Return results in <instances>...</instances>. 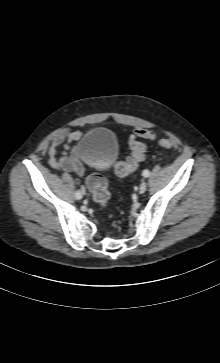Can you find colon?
Here are the masks:
<instances>
[{"label":"colon","instance_id":"colon-1","mask_svg":"<svg viewBox=\"0 0 220 363\" xmlns=\"http://www.w3.org/2000/svg\"><path fill=\"white\" fill-rule=\"evenodd\" d=\"M155 134L148 129H137L130 136L128 144L130 148V156L124 162H116L115 171L119 176H127L138 168L139 164L146 158L147 146L141 140H153ZM164 148H173L176 143L171 138H164L159 141ZM86 184L92 194L93 199L103 208L109 201V191L106 180L99 173H92L86 180Z\"/></svg>","mask_w":220,"mask_h":363}]
</instances>
